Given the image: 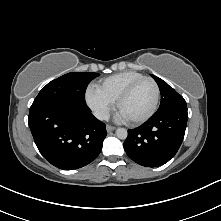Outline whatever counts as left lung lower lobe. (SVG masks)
Masks as SVG:
<instances>
[{
	"mask_svg": "<svg viewBox=\"0 0 221 221\" xmlns=\"http://www.w3.org/2000/svg\"><path fill=\"white\" fill-rule=\"evenodd\" d=\"M187 118V106L155 113L140 127L128 130V137L124 142L127 155L146 167H158L167 163L182 143Z\"/></svg>",
	"mask_w": 221,
	"mask_h": 221,
	"instance_id": "0a47b994",
	"label": "left lung lower lobe"
}]
</instances>
